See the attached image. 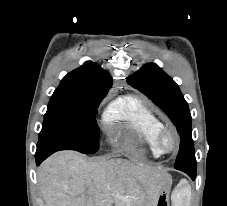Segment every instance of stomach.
I'll use <instances>...</instances> for the list:
<instances>
[{
	"label": "stomach",
	"mask_w": 227,
	"mask_h": 206,
	"mask_svg": "<svg viewBox=\"0 0 227 206\" xmlns=\"http://www.w3.org/2000/svg\"><path fill=\"white\" fill-rule=\"evenodd\" d=\"M170 189L171 186L167 185L161 190L156 206H171V202H169Z\"/></svg>",
	"instance_id": "1"
}]
</instances>
